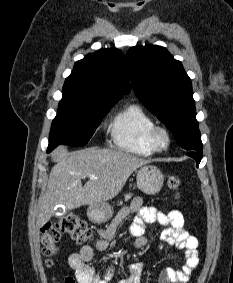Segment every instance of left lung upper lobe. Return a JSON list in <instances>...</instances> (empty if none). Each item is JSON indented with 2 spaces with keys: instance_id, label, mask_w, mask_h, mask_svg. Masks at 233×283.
<instances>
[{
  "instance_id": "1",
  "label": "left lung upper lobe",
  "mask_w": 233,
  "mask_h": 283,
  "mask_svg": "<svg viewBox=\"0 0 233 283\" xmlns=\"http://www.w3.org/2000/svg\"><path fill=\"white\" fill-rule=\"evenodd\" d=\"M127 63L136 95L186 150L202 152L191 80L163 47H133Z\"/></svg>"
}]
</instances>
